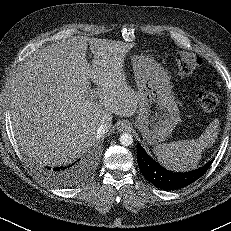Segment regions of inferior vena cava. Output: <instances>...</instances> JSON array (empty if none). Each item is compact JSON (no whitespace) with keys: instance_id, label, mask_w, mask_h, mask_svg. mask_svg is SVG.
I'll list each match as a JSON object with an SVG mask.
<instances>
[{"instance_id":"602c4592","label":"inferior vena cava","mask_w":231,"mask_h":231,"mask_svg":"<svg viewBox=\"0 0 231 231\" xmlns=\"http://www.w3.org/2000/svg\"><path fill=\"white\" fill-rule=\"evenodd\" d=\"M110 128H111L110 123L101 124L97 130V138L103 137L109 131Z\"/></svg>"}]
</instances>
